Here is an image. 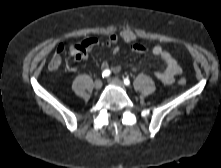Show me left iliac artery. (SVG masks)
Here are the masks:
<instances>
[{
    "label": "left iliac artery",
    "instance_id": "left-iliac-artery-1",
    "mask_svg": "<svg viewBox=\"0 0 221 168\" xmlns=\"http://www.w3.org/2000/svg\"><path fill=\"white\" fill-rule=\"evenodd\" d=\"M124 84L127 85V86L130 85V80L128 78H125L124 79Z\"/></svg>",
    "mask_w": 221,
    "mask_h": 168
}]
</instances>
